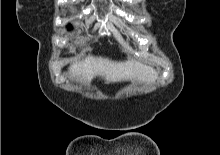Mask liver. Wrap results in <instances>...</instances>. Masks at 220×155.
I'll return each instance as SVG.
<instances>
[{
	"label": "liver",
	"mask_w": 220,
	"mask_h": 155,
	"mask_svg": "<svg viewBox=\"0 0 220 155\" xmlns=\"http://www.w3.org/2000/svg\"><path fill=\"white\" fill-rule=\"evenodd\" d=\"M72 78L90 82L94 77L100 76L107 83L137 80L139 82H152L157 79V72L139 61L128 60L116 62L108 58L88 56L73 62L69 67Z\"/></svg>",
	"instance_id": "obj_1"
}]
</instances>
